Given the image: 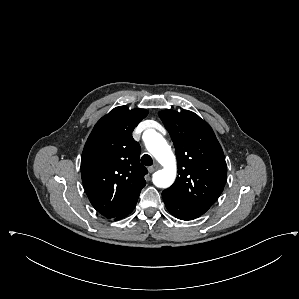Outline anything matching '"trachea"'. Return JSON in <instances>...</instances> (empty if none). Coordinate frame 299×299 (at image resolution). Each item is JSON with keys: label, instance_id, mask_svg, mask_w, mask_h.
Segmentation results:
<instances>
[{"label": "trachea", "instance_id": "3493384b", "mask_svg": "<svg viewBox=\"0 0 299 299\" xmlns=\"http://www.w3.org/2000/svg\"><path fill=\"white\" fill-rule=\"evenodd\" d=\"M141 162L142 164H144L145 166H151L153 164V159L151 158L150 155L148 154H144L142 157H141Z\"/></svg>", "mask_w": 299, "mask_h": 299}]
</instances>
